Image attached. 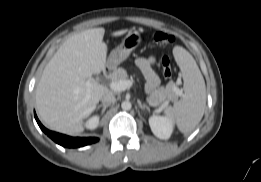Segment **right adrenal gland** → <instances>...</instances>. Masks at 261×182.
<instances>
[{
	"label": "right adrenal gland",
	"mask_w": 261,
	"mask_h": 182,
	"mask_svg": "<svg viewBox=\"0 0 261 182\" xmlns=\"http://www.w3.org/2000/svg\"><path fill=\"white\" fill-rule=\"evenodd\" d=\"M109 105L107 104H100L97 106L96 110L100 109L102 107V111H101V115L104 114L106 108L108 107Z\"/></svg>",
	"instance_id": "obj_1"
}]
</instances>
